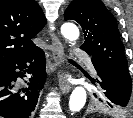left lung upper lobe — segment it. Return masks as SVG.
<instances>
[{"mask_svg":"<svg viewBox=\"0 0 133 118\" xmlns=\"http://www.w3.org/2000/svg\"><path fill=\"white\" fill-rule=\"evenodd\" d=\"M64 18L82 26L85 42L81 49L132 83L116 19L101 0H73Z\"/></svg>","mask_w":133,"mask_h":118,"instance_id":"obj_1","label":"left lung upper lobe"}]
</instances>
